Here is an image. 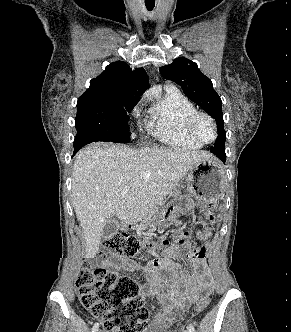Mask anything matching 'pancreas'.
I'll list each match as a JSON object with an SVG mask.
<instances>
[{
	"label": "pancreas",
	"mask_w": 291,
	"mask_h": 332,
	"mask_svg": "<svg viewBox=\"0 0 291 332\" xmlns=\"http://www.w3.org/2000/svg\"><path fill=\"white\" fill-rule=\"evenodd\" d=\"M164 203V199L163 198H159V199H155L152 201L151 205L149 206V211L150 212H155L158 210V208L163 205Z\"/></svg>",
	"instance_id": "cf45deb5"
}]
</instances>
